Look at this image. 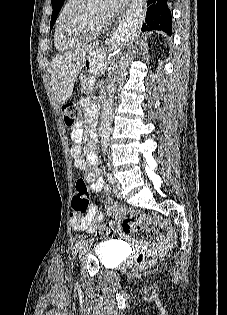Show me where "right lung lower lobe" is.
I'll return each mask as SVG.
<instances>
[{
	"label": "right lung lower lobe",
	"instance_id": "right-lung-lower-lobe-1",
	"mask_svg": "<svg viewBox=\"0 0 227 315\" xmlns=\"http://www.w3.org/2000/svg\"><path fill=\"white\" fill-rule=\"evenodd\" d=\"M162 30L172 34L171 13L167 7V0H148L147 14L142 31Z\"/></svg>",
	"mask_w": 227,
	"mask_h": 315
}]
</instances>
